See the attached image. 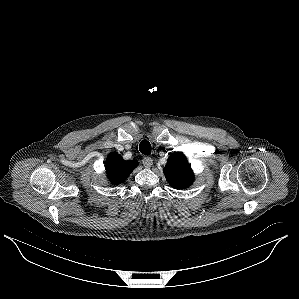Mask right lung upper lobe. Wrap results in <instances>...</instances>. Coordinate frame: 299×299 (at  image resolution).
Masks as SVG:
<instances>
[{
  "mask_svg": "<svg viewBox=\"0 0 299 299\" xmlns=\"http://www.w3.org/2000/svg\"><path fill=\"white\" fill-rule=\"evenodd\" d=\"M138 165L137 161H125L117 153H111L107 157L106 172L112 184L123 182L134 168Z\"/></svg>",
  "mask_w": 299,
  "mask_h": 299,
  "instance_id": "1",
  "label": "right lung upper lobe"
}]
</instances>
